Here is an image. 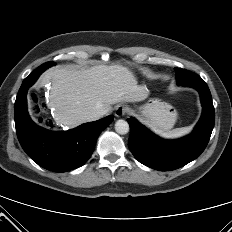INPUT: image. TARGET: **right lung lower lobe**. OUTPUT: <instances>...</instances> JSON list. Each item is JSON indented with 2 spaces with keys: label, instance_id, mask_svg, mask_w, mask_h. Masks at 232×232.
Listing matches in <instances>:
<instances>
[{
  "label": "right lung lower lobe",
  "instance_id": "1",
  "mask_svg": "<svg viewBox=\"0 0 232 232\" xmlns=\"http://www.w3.org/2000/svg\"><path fill=\"white\" fill-rule=\"evenodd\" d=\"M37 77L26 78L15 101V126L23 150L41 167L66 172L85 164L94 151L100 133L113 121L107 116L73 130L53 132L37 126L26 108L28 88Z\"/></svg>",
  "mask_w": 232,
  "mask_h": 232
}]
</instances>
